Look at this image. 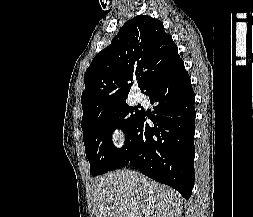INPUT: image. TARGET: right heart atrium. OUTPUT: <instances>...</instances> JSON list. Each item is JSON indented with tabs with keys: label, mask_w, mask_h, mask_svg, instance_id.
Masks as SVG:
<instances>
[{
	"label": "right heart atrium",
	"mask_w": 253,
	"mask_h": 217,
	"mask_svg": "<svg viewBox=\"0 0 253 217\" xmlns=\"http://www.w3.org/2000/svg\"><path fill=\"white\" fill-rule=\"evenodd\" d=\"M110 137L117 144L122 143L124 140L123 130L118 124H115L110 128Z\"/></svg>",
	"instance_id": "d8ad5b80"
}]
</instances>
